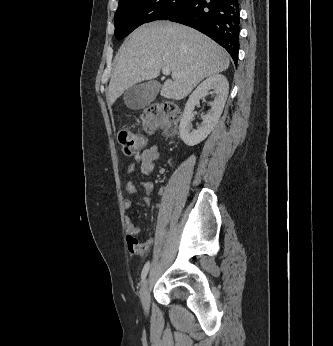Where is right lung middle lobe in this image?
<instances>
[{"label": "right lung middle lobe", "instance_id": "dd1d6c3e", "mask_svg": "<svg viewBox=\"0 0 333 346\" xmlns=\"http://www.w3.org/2000/svg\"><path fill=\"white\" fill-rule=\"evenodd\" d=\"M185 0H119L115 13V36L123 39L138 26L166 20Z\"/></svg>", "mask_w": 333, "mask_h": 346}]
</instances>
